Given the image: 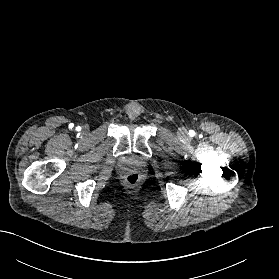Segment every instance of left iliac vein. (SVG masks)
<instances>
[{
	"label": "left iliac vein",
	"instance_id": "4c4485c4",
	"mask_svg": "<svg viewBox=\"0 0 279 279\" xmlns=\"http://www.w3.org/2000/svg\"><path fill=\"white\" fill-rule=\"evenodd\" d=\"M179 134L184 136L186 134V131L184 129H180Z\"/></svg>",
	"mask_w": 279,
	"mask_h": 279
}]
</instances>
